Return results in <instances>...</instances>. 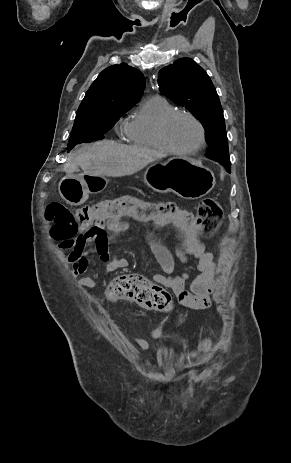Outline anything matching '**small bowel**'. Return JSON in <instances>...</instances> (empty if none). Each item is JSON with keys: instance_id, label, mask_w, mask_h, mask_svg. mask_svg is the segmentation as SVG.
I'll list each match as a JSON object with an SVG mask.
<instances>
[{"instance_id": "obj_1", "label": "small bowel", "mask_w": 291, "mask_h": 463, "mask_svg": "<svg viewBox=\"0 0 291 463\" xmlns=\"http://www.w3.org/2000/svg\"><path fill=\"white\" fill-rule=\"evenodd\" d=\"M125 218L128 217H103L99 220V227L85 231L76 239L65 260L72 264L70 275L76 278L78 286L94 287L98 284V279L85 276L89 265L90 246L99 254L106 266L107 274L128 268L129 263L124 257L110 252L112 239L128 229V225L123 222ZM172 227L175 228L181 242V248L178 250L180 261L186 263L189 257H193L196 260L197 275L191 279L189 272L175 274L174 258L170 250L151 233H147L146 242L162 267V272L154 274L153 280L169 288L184 307L194 310L208 309L213 305L212 294L218 276L214 256L205 250L197 233ZM59 247L64 249L60 244Z\"/></svg>"}]
</instances>
